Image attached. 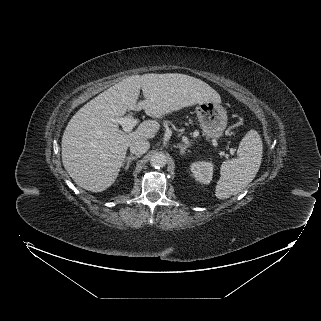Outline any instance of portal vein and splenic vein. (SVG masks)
Here are the masks:
<instances>
[{
  "mask_svg": "<svg viewBox=\"0 0 321 321\" xmlns=\"http://www.w3.org/2000/svg\"><path fill=\"white\" fill-rule=\"evenodd\" d=\"M114 122H117L120 124L124 130V132H131L133 127L136 126L138 123V119H133V118H127V117H122L118 119H114ZM233 149H230V152L233 153Z\"/></svg>",
  "mask_w": 321,
  "mask_h": 321,
  "instance_id": "portal-vein-and-splenic-vein-1",
  "label": "portal vein and splenic vein"
}]
</instances>
